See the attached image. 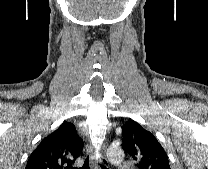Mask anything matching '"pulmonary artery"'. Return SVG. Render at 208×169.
<instances>
[{"label": "pulmonary artery", "mask_w": 208, "mask_h": 169, "mask_svg": "<svg viewBox=\"0 0 208 169\" xmlns=\"http://www.w3.org/2000/svg\"><path fill=\"white\" fill-rule=\"evenodd\" d=\"M131 166L128 163H121L118 165V169H130Z\"/></svg>", "instance_id": "e3ab8cb5"}]
</instances>
